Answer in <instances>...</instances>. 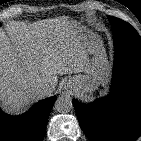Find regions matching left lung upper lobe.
I'll list each match as a JSON object with an SVG mask.
<instances>
[{
  "mask_svg": "<svg viewBox=\"0 0 141 141\" xmlns=\"http://www.w3.org/2000/svg\"><path fill=\"white\" fill-rule=\"evenodd\" d=\"M109 19L113 25L114 36L119 38L127 37L138 38L137 32L131 25L115 17H109Z\"/></svg>",
  "mask_w": 141,
  "mask_h": 141,
  "instance_id": "5c2ea615",
  "label": "left lung upper lobe"
}]
</instances>
